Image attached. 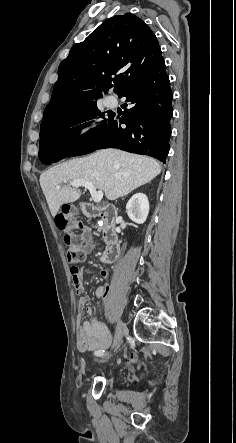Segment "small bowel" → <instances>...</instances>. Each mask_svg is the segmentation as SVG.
Instances as JSON below:
<instances>
[{"label":"small bowel","instance_id":"c3829d8e","mask_svg":"<svg viewBox=\"0 0 236 443\" xmlns=\"http://www.w3.org/2000/svg\"><path fill=\"white\" fill-rule=\"evenodd\" d=\"M83 241V250L85 253L92 252L94 245L92 242L91 230L88 227H84L81 234ZM70 273L73 278L74 290L77 294L81 295L78 302V309L80 312H86L89 316H94V308L88 306L90 298L84 295L85 286L82 281L81 271L76 267L70 268ZM109 275L107 269L102 268L100 270V276L106 279ZM108 292L107 285L99 286L95 291L96 298L105 297ZM76 345L79 351H102L107 349L111 345V336L104 323L97 318L92 317L88 321H82L81 315L78 317V327L76 335Z\"/></svg>","mask_w":236,"mask_h":443}]
</instances>
